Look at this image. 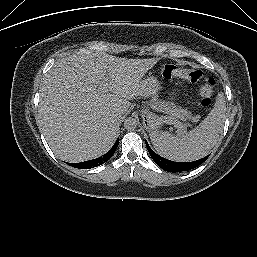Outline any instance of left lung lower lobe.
<instances>
[{"label":"left lung lower lobe","mask_w":257,"mask_h":257,"mask_svg":"<svg viewBox=\"0 0 257 257\" xmlns=\"http://www.w3.org/2000/svg\"><path fill=\"white\" fill-rule=\"evenodd\" d=\"M146 147H147V150H148L150 156L152 157V159L155 161V163L160 168H162L165 171L173 172V173L191 170V169L201 165L209 157V155H207L206 157L199 159L197 161H194V162H186V163L174 162V161L165 159V158L161 157L160 155L156 154L150 148V146L148 145L147 142H146Z\"/></svg>","instance_id":"left-lung-lower-lobe-1"}]
</instances>
